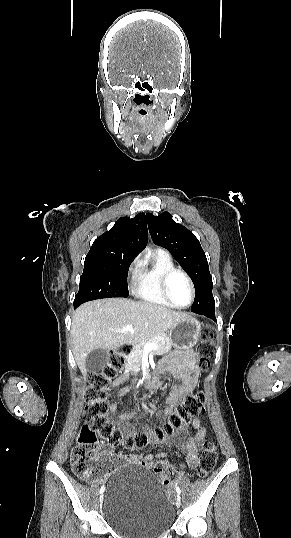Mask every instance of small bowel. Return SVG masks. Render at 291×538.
Here are the masks:
<instances>
[{
  "instance_id": "obj_1",
  "label": "small bowel",
  "mask_w": 291,
  "mask_h": 538,
  "mask_svg": "<svg viewBox=\"0 0 291 538\" xmlns=\"http://www.w3.org/2000/svg\"><path fill=\"white\" fill-rule=\"evenodd\" d=\"M196 357L191 352H184L171 355L165 363L166 369L176 378L180 380V384L173 386L165 399V408L162 413L169 415L177 406V404L183 399V397L191 393L198 383V371L194 364ZM128 378L127 374H124L117 378L113 382V399L110 406V411L113 417L116 419L119 431L123 439L129 438L133 433V425L128 421L131 417L128 413H120L119 407L122 404V398L128 393V388H119ZM147 385L151 388H159L161 381L158 377H153L147 380ZM191 426L194 430L190 437L186 438V431L180 429L171 435H165L162 439L157 440L152 438L153 442H160L166 445L175 446L180 450L186 452L185 464L182 466L194 469L199 464V451L203 445L205 430L201 421L198 418L191 420ZM109 461L114 465H122L124 463L138 464L142 460V456L136 453H130L128 455L123 454H105ZM166 453L160 451L155 455H148L147 460L156 458H164ZM108 474L105 475V477Z\"/></svg>"
}]
</instances>
